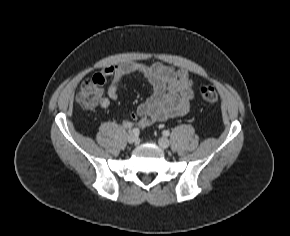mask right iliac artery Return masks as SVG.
Segmentation results:
<instances>
[{
	"mask_svg": "<svg viewBox=\"0 0 290 236\" xmlns=\"http://www.w3.org/2000/svg\"><path fill=\"white\" fill-rule=\"evenodd\" d=\"M132 132L135 134V135H138L139 134V129L138 128H134L132 130Z\"/></svg>",
	"mask_w": 290,
	"mask_h": 236,
	"instance_id": "right-iliac-artery-1",
	"label": "right iliac artery"
}]
</instances>
